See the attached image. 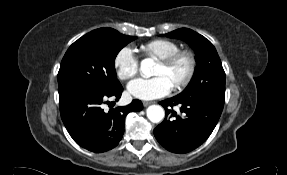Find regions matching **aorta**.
<instances>
[{
    "instance_id": "1",
    "label": "aorta",
    "mask_w": 287,
    "mask_h": 175,
    "mask_svg": "<svg viewBox=\"0 0 287 175\" xmlns=\"http://www.w3.org/2000/svg\"><path fill=\"white\" fill-rule=\"evenodd\" d=\"M154 61L150 58L141 61L140 70L146 77L151 76V68ZM148 119L153 123H159L165 116V112L160 105H151L146 110Z\"/></svg>"
}]
</instances>
